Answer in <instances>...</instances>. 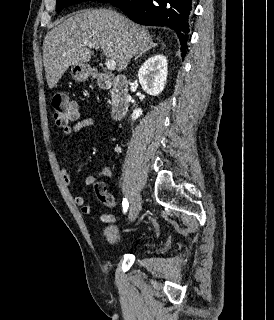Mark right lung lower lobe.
Returning <instances> with one entry per match:
<instances>
[{"mask_svg":"<svg viewBox=\"0 0 274 320\" xmlns=\"http://www.w3.org/2000/svg\"><path fill=\"white\" fill-rule=\"evenodd\" d=\"M193 0H111L131 20L152 26H168L179 37L181 55H186Z\"/></svg>","mask_w":274,"mask_h":320,"instance_id":"98d812e1","label":"right lung lower lobe"}]
</instances>
